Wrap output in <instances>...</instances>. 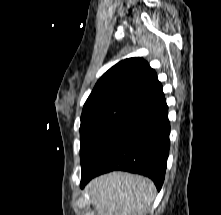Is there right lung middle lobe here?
I'll list each match as a JSON object with an SVG mask.
<instances>
[{"label": "right lung middle lobe", "mask_w": 221, "mask_h": 215, "mask_svg": "<svg viewBox=\"0 0 221 215\" xmlns=\"http://www.w3.org/2000/svg\"><path fill=\"white\" fill-rule=\"evenodd\" d=\"M136 108L116 102L85 104L80 126L82 172L95 158L105 141Z\"/></svg>", "instance_id": "1"}]
</instances>
